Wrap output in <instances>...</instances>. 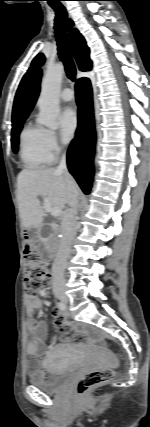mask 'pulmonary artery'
<instances>
[{"instance_id": "1", "label": "pulmonary artery", "mask_w": 150, "mask_h": 427, "mask_svg": "<svg viewBox=\"0 0 150 427\" xmlns=\"http://www.w3.org/2000/svg\"><path fill=\"white\" fill-rule=\"evenodd\" d=\"M60 99L65 102L71 101L73 99V93L71 89L69 88L63 89L62 92L60 93Z\"/></svg>"}]
</instances>
